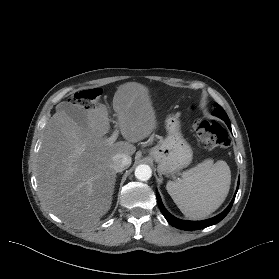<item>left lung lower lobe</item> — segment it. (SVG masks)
Returning a JSON list of instances; mask_svg holds the SVG:
<instances>
[{
    "label": "left lung lower lobe",
    "instance_id": "left-lung-lower-lobe-1",
    "mask_svg": "<svg viewBox=\"0 0 279 279\" xmlns=\"http://www.w3.org/2000/svg\"><path fill=\"white\" fill-rule=\"evenodd\" d=\"M227 126L231 130L230 123H228ZM238 186H239V182H238ZM237 190H238V187H237ZM237 190H236V193H237ZM235 196H236V194H235ZM235 196H234L233 200L231 201V203L229 204V206L221 214H219L211 219L203 220V221H184V220L177 219L176 217L172 216L164 208L158 193H157V200H158V206H159L162 214L164 215V217L167 219V221L172 226L182 229V230H198V229H203L205 227L214 225V224L218 223L219 221H221L229 213V211L232 207L233 201L235 199Z\"/></svg>",
    "mask_w": 279,
    "mask_h": 279
}]
</instances>
